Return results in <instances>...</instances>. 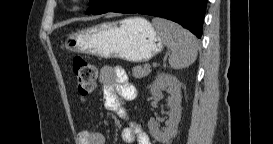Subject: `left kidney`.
<instances>
[{"instance_id":"obj_1","label":"left kidney","mask_w":273,"mask_h":144,"mask_svg":"<svg viewBox=\"0 0 273 144\" xmlns=\"http://www.w3.org/2000/svg\"><path fill=\"white\" fill-rule=\"evenodd\" d=\"M162 91H167L170 94L168 97V106L170 107L169 120L162 131L157 121L151 118L148 122V128L151 136L156 141L168 144L176 136L181 119V83L170 74L158 75L151 85L150 92L152 96L158 97L162 95Z\"/></svg>"}]
</instances>
